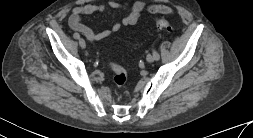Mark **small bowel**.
Returning <instances> with one entry per match:
<instances>
[{"mask_svg":"<svg viewBox=\"0 0 253 138\" xmlns=\"http://www.w3.org/2000/svg\"><path fill=\"white\" fill-rule=\"evenodd\" d=\"M108 8L124 9L127 11V13L123 17L121 22H117L111 28L105 29L100 32H96L95 30L83 23L82 16L95 13H103L107 11ZM144 13L172 15L174 14V10L164 4L147 3L144 1H138L132 5L126 2L117 1H109L106 5L86 4L75 7L72 10V13L69 18V26L73 31L79 32L84 35L89 41L97 42L108 38L112 34L118 32L122 26L135 25Z\"/></svg>","mask_w":253,"mask_h":138,"instance_id":"obj_1","label":"small bowel"}]
</instances>
